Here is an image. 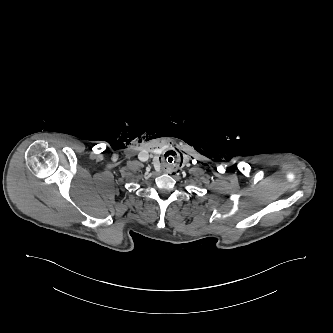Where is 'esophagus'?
Listing matches in <instances>:
<instances>
[{
	"label": "esophagus",
	"instance_id": "esophagus-1",
	"mask_svg": "<svg viewBox=\"0 0 333 333\" xmlns=\"http://www.w3.org/2000/svg\"><path fill=\"white\" fill-rule=\"evenodd\" d=\"M167 173H171L172 171L169 169V170H166Z\"/></svg>",
	"mask_w": 333,
	"mask_h": 333
}]
</instances>
